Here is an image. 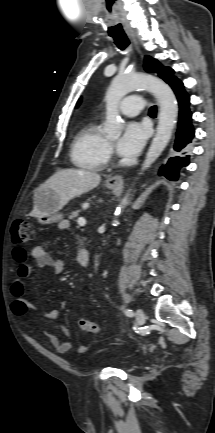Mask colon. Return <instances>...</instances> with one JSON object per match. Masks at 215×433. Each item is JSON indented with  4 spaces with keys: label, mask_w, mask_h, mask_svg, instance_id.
Returning <instances> with one entry per match:
<instances>
[{
    "label": "colon",
    "mask_w": 215,
    "mask_h": 433,
    "mask_svg": "<svg viewBox=\"0 0 215 433\" xmlns=\"http://www.w3.org/2000/svg\"><path fill=\"white\" fill-rule=\"evenodd\" d=\"M33 239V229L30 224L23 220H17L12 226V241L16 245H22L30 242ZM78 326L81 330L97 333L99 331V326L96 322L79 318Z\"/></svg>",
    "instance_id": "1"
}]
</instances>
